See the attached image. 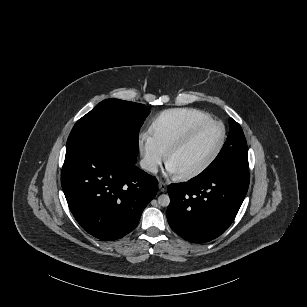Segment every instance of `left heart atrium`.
<instances>
[{
    "label": "left heart atrium",
    "instance_id": "1",
    "mask_svg": "<svg viewBox=\"0 0 307 307\" xmlns=\"http://www.w3.org/2000/svg\"><path fill=\"white\" fill-rule=\"evenodd\" d=\"M167 171L171 174H176L170 165L168 166Z\"/></svg>",
    "mask_w": 307,
    "mask_h": 307
}]
</instances>
